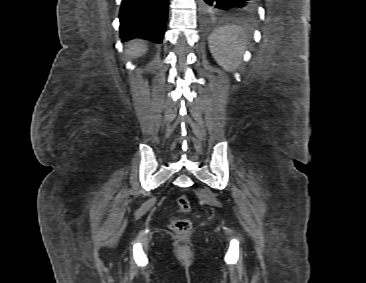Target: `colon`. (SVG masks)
<instances>
[{
  "label": "colon",
  "mask_w": 366,
  "mask_h": 283,
  "mask_svg": "<svg viewBox=\"0 0 366 283\" xmlns=\"http://www.w3.org/2000/svg\"><path fill=\"white\" fill-rule=\"evenodd\" d=\"M178 210L181 213H188L191 210V204L186 195H180L177 198ZM171 227L178 233L185 234L191 229V224L187 219L178 218L171 221Z\"/></svg>",
  "instance_id": "obj_1"
}]
</instances>
